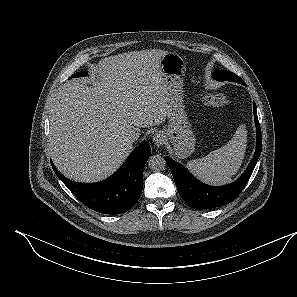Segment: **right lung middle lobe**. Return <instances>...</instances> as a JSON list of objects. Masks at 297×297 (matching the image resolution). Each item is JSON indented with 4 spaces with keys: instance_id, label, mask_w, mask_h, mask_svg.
<instances>
[{
    "instance_id": "right-lung-middle-lobe-1",
    "label": "right lung middle lobe",
    "mask_w": 297,
    "mask_h": 297,
    "mask_svg": "<svg viewBox=\"0 0 297 297\" xmlns=\"http://www.w3.org/2000/svg\"><path fill=\"white\" fill-rule=\"evenodd\" d=\"M84 75H86V73H84V72H77V73L73 74L72 77L73 78H76V77H80V76H84Z\"/></svg>"
}]
</instances>
